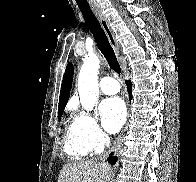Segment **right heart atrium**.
I'll list each match as a JSON object with an SVG mask.
<instances>
[{"label":"right heart atrium","instance_id":"d8ad5b80","mask_svg":"<svg viewBox=\"0 0 196 182\" xmlns=\"http://www.w3.org/2000/svg\"><path fill=\"white\" fill-rule=\"evenodd\" d=\"M74 125L79 138L89 153L100 151L108 142V137L95 117L78 113L74 118Z\"/></svg>","mask_w":196,"mask_h":182}]
</instances>
